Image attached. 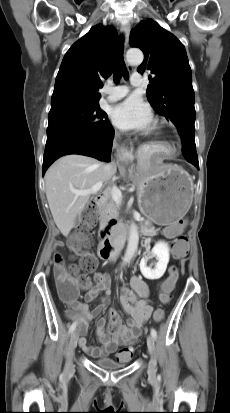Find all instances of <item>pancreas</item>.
<instances>
[{
	"label": "pancreas",
	"instance_id": "pancreas-1",
	"mask_svg": "<svg viewBox=\"0 0 230 413\" xmlns=\"http://www.w3.org/2000/svg\"><path fill=\"white\" fill-rule=\"evenodd\" d=\"M119 208L120 205L113 200L110 189H107L105 200L99 206V214L102 222L117 218L119 215ZM143 234L145 236H154L157 234V230L155 227L151 226L149 222L145 221Z\"/></svg>",
	"mask_w": 230,
	"mask_h": 413
}]
</instances>
